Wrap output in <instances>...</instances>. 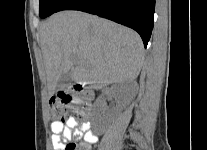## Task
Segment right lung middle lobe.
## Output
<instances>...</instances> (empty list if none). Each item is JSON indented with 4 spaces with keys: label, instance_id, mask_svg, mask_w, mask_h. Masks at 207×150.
<instances>
[{
    "label": "right lung middle lobe",
    "instance_id": "1",
    "mask_svg": "<svg viewBox=\"0 0 207 150\" xmlns=\"http://www.w3.org/2000/svg\"><path fill=\"white\" fill-rule=\"evenodd\" d=\"M64 1L65 0H39L40 17L45 18L53 14Z\"/></svg>",
    "mask_w": 207,
    "mask_h": 150
}]
</instances>
